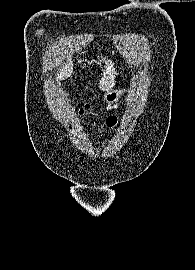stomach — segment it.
Returning a JSON list of instances; mask_svg holds the SVG:
<instances>
[{"mask_svg":"<svg viewBox=\"0 0 195 270\" xmlns=\"http://www.w3.org/2000/svg\"><path fill=\"white\" fill-rule=\"evenodd\" d=\"M119 96H120V92L116 90H109L104 94V100L108 104H114L118 101Z\"/></svg>","mask_w":195,"mask_h":270,"instance_id":"1","label":"stomach"}]
</instances>
